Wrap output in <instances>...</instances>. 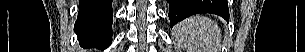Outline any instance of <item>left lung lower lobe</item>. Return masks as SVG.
I'll return each mask as SVG.
<instances>
[{"label": "left lung lower lobe", "mask_w": 305, "mask_h": 52, "mask_svg": "<svg viewBox=\"0 0 305 52\" xmlns=\"http://www.w3.org/2000/svg\"><path fill=\"white\" fill-rule=\"evenodd\" d=\"M169 3L170 26L173 27L177 15L187 9H200L199 13H213L229 19L227 0H167ZM197 14V13H196Z\"/></svg>", "instance_id": "1"}]
</instances>
